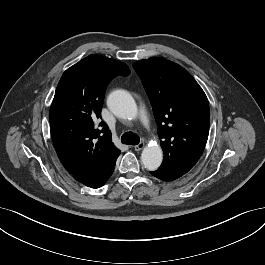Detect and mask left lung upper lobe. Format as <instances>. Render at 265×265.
Here are the masks:
<instances>
[{"label":"left lung upper lobe","instance_id":"obj_1","mask_svg":"<svg viewBox=\"0 0 265 265\" xmlns=\"http://www.w3.org/2000/svg\"><path fill=\"white\" fill-rule=\"evenodd\" d=\"M152 104L164 159L158 172L173 181L198 161L209 134V103L191 74L163 58L133 64Z\"/></svg>","mask_w":265,"mask_h":265}]
</instances>
